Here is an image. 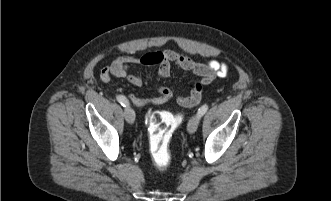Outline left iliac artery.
Wrapping results in <instances>:
<instances>
[{
  "instance_id": "1",
  "label": "left iliac artery",
  "mask_w": 331,
  "mask_h": 201,
  "mask_svg": "<svg viewBox=\"0 0 331 201\" xmlns=\"http://www.w3.org/2000/svg\"><path fill=\"white\" fill-rule=\"evenodd\" d=\"M208 110V106L207 105H203L202 107L199 108L198 110V114L201 116H203Z\"/></svg>"
}]
</instances>
